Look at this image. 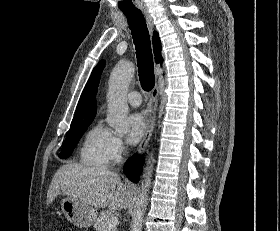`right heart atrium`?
Returning <instances> with one entry per match:
<instances>
[{"mask_svg": "<svg viewBox=\"0 0 280 231\" xmlns=\"http://www.w3.org/2000/svg\"><path fill=\"white\" fill-rule=\"evenodd\" d=\"M107 151L111 161L119 159L125 152V144L123 140L118 136L109 133L107 138Z\"/></svg>", "mask_w": 280, "mask_h": 231, "instance_id": "d8ad5b80", "label": "right heart atrium"}]
</instances>
